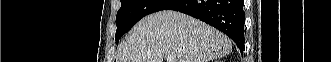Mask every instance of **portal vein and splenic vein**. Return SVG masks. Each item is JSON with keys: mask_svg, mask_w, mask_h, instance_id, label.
Returning <instances> with one entry per match:
<instances>
[{"mask_svg": "<svg viewBox=\"0 0 331 62\" xmlns=\"http://www.w3.org/2000/svg\"><path fill=\"white\" fill-rule=\"evenodd\" d=\"M175 57L173 55H168L166 60L167 62H174Z\"/></svg>", "mask_w": 331, "mask_h": 62, "instance_id": "portal-vein-and-splenic-vein-1", "label": "portal vein and splenic vein"}]
</instances>
